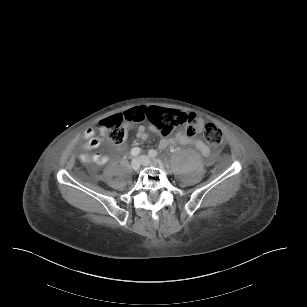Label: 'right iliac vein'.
<instances>
[{"instance_id":"obj_1","label":"right iliac vein","mask_w":307,"mask_h":307,"mask_svg":"<svg viewBox=\"0 0 307 307\" xmlns=\"http://www.w3.org/2000/svg\"><path fill=\"white\" fill-rule=\"evenodd\" d=\"M131 168L135 171L140 169V161L138 158H134L131 161Z\"/></svg>"}]
</instances>
